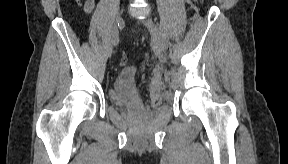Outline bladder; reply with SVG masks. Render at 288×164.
Segmentation results:
<instances>
[{
    "label": "bladder",
    "mask_w": 288,
    "mask_h": 164,
    "mask_svg": "<svg viewBox=\"0 0 288 164\" xmlns=\"http://www.w3.org/2000/svg\"><path fill=\"white\" fill-rule=\"evenodd\" d=\"M109 94L111 102L118 107L134 108L144 103L135 83L132 67H126L117 72Z\"/></svg>",
    "instance_id": "bladder-1"
}]
</instances>
